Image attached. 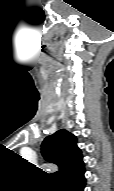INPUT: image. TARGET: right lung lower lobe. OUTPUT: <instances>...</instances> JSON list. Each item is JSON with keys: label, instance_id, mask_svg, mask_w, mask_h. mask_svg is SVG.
I'll use <instances>...</instances> for the list:
<instances>
[{"label": "right lung lower lobe", "instance_id": "1", "mask_svg": "<svg viewBox=\"0 0 114 191\" xmlns=\"http://www.w3.org/2000/svg\"><path fill=\"white\" fill-rule=\"evenodd\" d=\"M84 168L59 181L60 191H83L85 187Z\"/></svg>", "mask_w": 114, "mask_h": 191}]
</instances>
